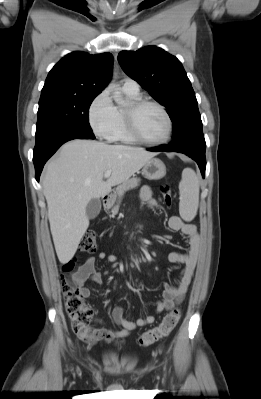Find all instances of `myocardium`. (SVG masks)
Segmentation results:
<instances>
[{
	"label": "myocardium",
	"instance_id": "1",
	"mask_svg": "<svg viewBox=\"0 0 261 399\" xmlns=\"http://www.w3.org/2000/svg\"><path fill=\"white\" fill-rule=\"evenodd\" d=\"M145 106H155L164 114L167 120L168 129H167V134L163 139L149 140L140 133L137 126L136 114L141 108ZM124 122L128 135L134 141H137L142 144L151 145V146L163 145L169 142L173 135L174 124L170 113L161 103L154 100L142 99V98L131 100L128 107L124 109Z\"/></svg>",
	"mask_w": 261,
	"mask_h": 399
}]
</instances>
